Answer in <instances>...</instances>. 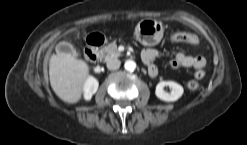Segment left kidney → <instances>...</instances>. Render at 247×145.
Instances as JSON below:
<instances>
[{
  "instance_id": "1",
  "label": "left kidney",
  "mask_w": 247,
  "mask_h": 145,
  "mask_svg": "<svg viewBox=\"0 0 247 145\" xmlns=\"http://www.w3.org/2000/svg\"><path fill=\"white\" fill-rule=\"evenodd\" d=\"M165 86H169L171 88L170 93L164 91ZM183 92V87L174 81H161L157 84L155 90L156 96L165 102L177 101L182 96Z\"/></svg>"
}]
</instances>
